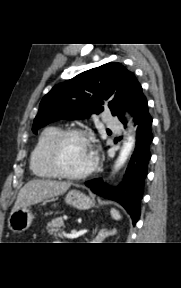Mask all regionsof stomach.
Wrapping results in <instances>:
<instances>
[{
	"instance_id": "stomach-1",
	"label": "stomach",
	"mask_w": 181,
	"mask_h": 288,
	"mask_svg": "<svg viewBox=\"0 0 181 288\" xmlns=\"http://www.w3.org/2000/svg\"><path fill=\"white\" fill-rule=\"evenodd\" d=\"M65 202L79 210H87L93 207L94 201L84 193L71 190L65 197ZM33 220L32 213L28 208H20L11 213L8 218L9 228L14 232H23L27 230Z\"/></svg>"
}]
</instances>
